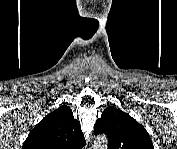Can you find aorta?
<instances>
[{
	"label": "aorta",
	"mask_w": 177,
	"mask_h": 149,
	"mask_svg": "<svg viewBox=\"0 0 177 149\" xmlns=\"http://www.w3.org/2000/svg\"><path fill=\"white\" fill-rule=\"evenodd\" d=\"M97 142L102 143L103 146L107 145V139L105 137L98 138Z\"/></svg>",
	"instance_id": "762f6f07"
}]
</instances>
